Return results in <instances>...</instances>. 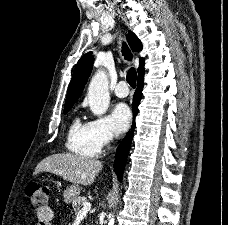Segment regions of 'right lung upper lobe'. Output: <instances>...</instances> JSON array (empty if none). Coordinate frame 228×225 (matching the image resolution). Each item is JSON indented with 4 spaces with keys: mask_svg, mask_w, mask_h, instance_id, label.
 Segmentation results:
<instances>
[{
    "mask_svg": "<svg viewBox=\"0 0 228 225\" xmlns=\"http://www.w3.org/2000/svg\"><path fill=\"white\" fill-rule=\"evenodd\" d=\"M127 40L133 51L139 52L142 50L141 41L132 31L128 32ZM93 61L94 57L92 56V52H88L83 55L76 64L71 82L69 84L64 107L73 105L78 100L88 80V77L91 74ZM142 66H144V59L140 58L139 69Z\"/></svg>",
    "mask_w": 228,
    "mask_h": 225,
    "instance_id": "obj_1",
    "label": "right lung upper lobe"
}]
</instances>
